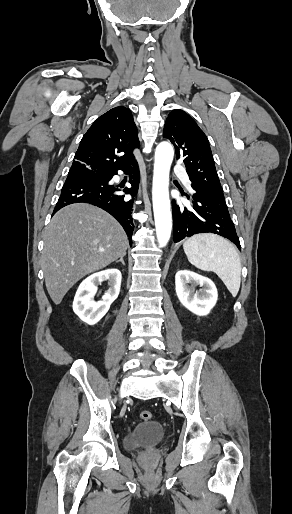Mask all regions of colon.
<instances>
[{
    "mask_svg": "<svg viewBox=\"0 0 292 514\" xmlns=\"http://www.w3.org/2000/svg\"><path fill=\"white\" fill-rule=\"evenodd\" d=\"M139 416L145 422H149L153 417L152 413L145 409L140 411Z\"/></svg>",
    "mask_w": 292,
    "mask_h": 514,
    "instance_id": "5ec220e1",
    "label": "colon"
}]
</instances>
